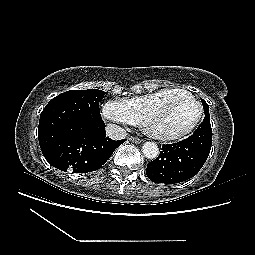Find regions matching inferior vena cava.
Here are the masks:
<instances>
[{
  "label": "inferior vena cava",
  "instance_id": "1",
  "mask_svg": "<svg viewBox=\"0 0 255 255\" xmlns=\"http://www.w3.org/2000/svg\"><path fill=\"white\" fill-rule=\"evenodd\" d=\"M106 134L113 140H121L126 138V131L116 124H109L106 127Z\"/></svg>",
  "mask_w": 255,
  "mask_h": 255
}]
</instances>
